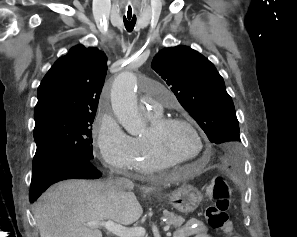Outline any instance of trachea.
Listing matches in <instances>:
<instances>
[{"instance_id":"obj_1","label":"trachea","mask_w":297,"mask_h":237,"mask_svg":"<svg viewBox=\"0 0 297 237\" xmlns=\"http://www.w3.org/2000/svg\"><path fill=\"white\" fill-rule=\"evenodd\" d=\"M124 24L127 31H132L136 24V20H124Z\"/></svg>"}]
</instances>
